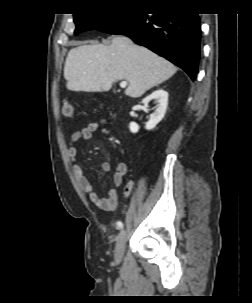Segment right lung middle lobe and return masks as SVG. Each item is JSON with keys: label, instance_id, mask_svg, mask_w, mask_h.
Instances as JSON below:
<instances>
[{"label": "right lung middle lobe", "instance_id": "dd1d6c3e", "mask_svg": "<svg viewBox=\"0 0 252 303\" xmlns=\"http://www.w3.org/2000/svg\"><path fill=\"white\" fill-rule=\"evenodd\" d=\"M126 13H90V14H74V22L76 24L75 34L87 30H98L110 23L119 20Z\"/></svg>", "mask_w": 252, "mask_h": 303}]
</instances>
